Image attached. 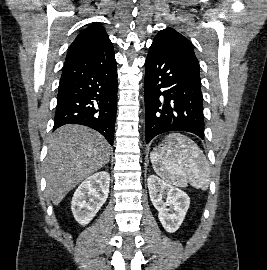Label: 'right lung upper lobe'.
I'll use <instances>...</instances> for the list:
<instances>
[{
  "label": "right lung upper lobe",
  "mask_w": 267,
  "mask_h": 270,
  "mask_svg": "<svg viewBox=\"0 0 267 270\" xmlns=\"http://www.w3.org/2000/svg\"><path fill=\"white\" fill-rule=\"evenodd\" d=\"M111 44L104 28L100 24L94 23L79 33L69 47L66 60L79 57Z\"/></svg>",
  "instance_id": "obj_1"
}]
</instances>
